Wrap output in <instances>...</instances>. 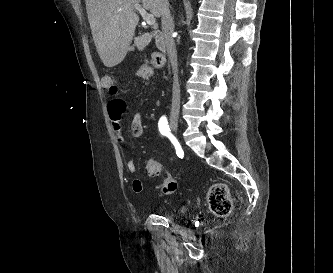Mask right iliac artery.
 Masks as SVG:
<instances>
[{
	"label": "right iliac artery",
	"instance_id": "right-iliac-artery-1",
	"mask_svg": "<svg viewBox=\"0 0 333 273\" xmlns=\"http://www.w3.org/2000/svg\"><path fill=\"white\" fill-rule=\"evenodd\" d=\"M158 128H159L160 133L163 136H169V135H171L170 128H169L166 116H162L160 118V120L158 122Z\"/></svg>",
	"mask_w": 333,
	"mask_h": 273
}]
</instances>
